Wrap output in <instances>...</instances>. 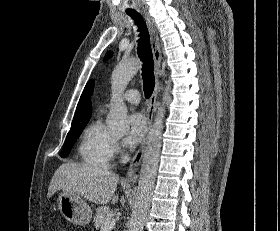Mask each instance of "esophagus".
<instances>
[{"mask_svg":"<svg viewBox=\"0 0 280 231\" xmlns=\"http://www.w3.org/2000/svg\"><path fill=\"white\" fill-rule=\"evenodd\" d=\"M142 10H143L146 24L148 27V31L150 34V44H151V48H152V55H153V61H154L156 84H155V88H154V91L150 98V101L148 104V109H147V124H148L147 132L141 143V146L136 151L135 155L133 156V158L129 164V167L127 170V175L125 177V181L131 180L132 178L136 177V175L138 173V170H139V167H140V164L142 162L143 155L145 152L147 137H148V133L151 129L153 116L157 109V96H158V92L160 90V83L158 80V71L161 67L162 54H161V48H160L159 41H158V32L153 23L152 17L149 15L146 8H143Z\"/></svg>","mask_w":280,"mask_h":231,"instance_id":"1","label":"esophagus"}]
</instances>
